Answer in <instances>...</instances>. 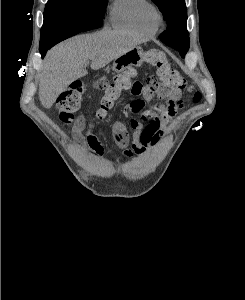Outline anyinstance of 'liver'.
Segmentation results:
<instances>
[{"label": "liver", "instance_id": "1", "mask_svg": "<svg viewBox=\"0 0 245 300\" xmlns=\"http://www.w3.org/2000/svg\"><path fill=\"white\" fill-rule=\"evenodd\" d=\"M141 40L132 34L109 29L76 36L53 47L46 55L39 75V99L49 109L59 95L75 80L87 75L85 66L98 70Z\"/></svg>", "mask_w": 245, "mask_h": 300}]
</instances>
